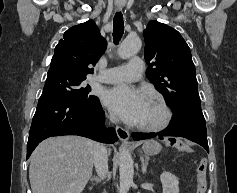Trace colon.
Listing matches in <instances>:
<instances>
[{"label": "colon", "instance_id": "5ec220e1", "mask_svg": "<svg viewBox=\"0 0 237 193\" xmlns=\"http://www.w3.org/2000/svg\"><path fill=\"white\" fill-rule=\"evenodd\" d=\"M167 142L170 146L181 152H188L190 150L189 143L180 138H170ZM207 164L205 158L200 159L197 163L198 193H204L207 187Z\"/></svg>", "mask_w": 237, "mask_h": 193}]
</instances>
